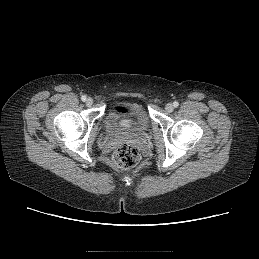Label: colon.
<instances>
[{"label":"colon","mask_w":259,"mask_h":259,"mask_svg":"<svg viewBox=\"0 0 259 259\" xmlns=\"http://www.w3.org/2000/svg\"><path fill=\"white\" fill-rule=\"evenodd\" d=\"M140 159L139 149L130 143H122L112 154L114 165L121 170H132Z\"/></svg>","instance_id":"5ec220e1"}]
</instances>
